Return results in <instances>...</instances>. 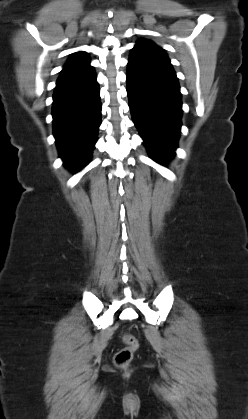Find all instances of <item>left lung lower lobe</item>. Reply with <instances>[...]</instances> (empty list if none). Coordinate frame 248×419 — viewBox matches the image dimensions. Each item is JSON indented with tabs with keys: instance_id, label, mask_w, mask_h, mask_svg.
<instances>
[{
	"instance_id": "left-lung-lower-lobe-1",
	"label": "left lung lower lobe",
	"mask_w": 248,
	"mask_h": 419,
	"mask_svg": "<svg viewBox=\"0 0 248 419\" xmlns=\"http://www.w3.org/2000/svg\"><path fill=\"white\" fill-rule=\"evenodd\" d=\"M127 93L134 124L152 159H171L180 135L182 102L170 60L133 48L127 65Z\"/></svg>"
}]
</instances>
